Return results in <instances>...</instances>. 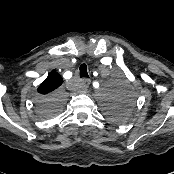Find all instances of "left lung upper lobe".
I'll return each instance as SVG.
<instances>
[{
	"label": "left lung upper lobe",
	"mask_w": 174,
	"mask_h": 174,
	"mask_svg": "<svg viewBox=\"0 0 174 174\" xmlns=\"http://www.w3.org/2000/svg\"><path fill=\"white\" fill-rule=\"evenodd\" d=\"M125 105H120L117 107H113V108H109L107 110V116L108 118H110L113 121L116 122H123L126 120V107H124Z\"/></svg>",
	"instance_id": "1"
}]
</instances>
